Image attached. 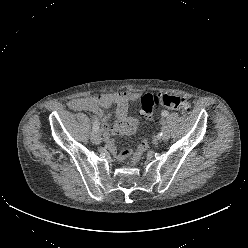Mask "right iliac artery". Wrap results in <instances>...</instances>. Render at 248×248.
<instances>
[{"label": "right iliac artery", "mask_w": 248, "mask_h": 248, "mask_svg": "<svg viewBox=\"0 0 248 248\" xmlns=\"http://www.w3.org/2000/svg\"><path fill=\"white\" fill-rule=\"evenodd\" d=\"M99 129V122L98 120L95 118L94 122H93V131H97Z\"/></svg>", "instance_id": "obj_1"}]
</instances>
